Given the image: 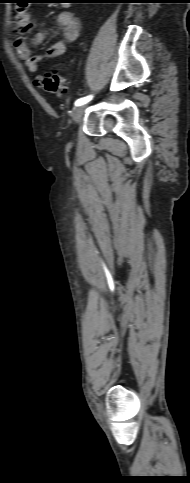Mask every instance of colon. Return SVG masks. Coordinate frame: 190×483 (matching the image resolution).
Masks as SVG:
<instances>
[{"label": "colon", "mask_w": 190, "mask_h": 483, "mask_svg": "<svg viewBox=\"0 0 190 483\" xmlns=\"http://www.w3.org/2000/svg\"><path fill=\"white\" fill-rule=\"evenodd\" d=\"M36 83L46 91L62 95L68 88V80L56 72H46L36 78Z\"/></svg>", "instance_id": "obj_1"}]
</instances>
